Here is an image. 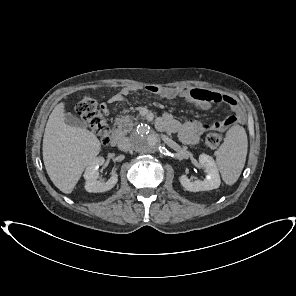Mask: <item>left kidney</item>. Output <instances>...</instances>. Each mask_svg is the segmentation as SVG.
Segmentation results:
<instances>
[{
    "instance_id": "1",
    "label": "left kidney",
    "mask_w": 296,
    "mask_h": 296,
    "mask_svg": "<svg viewBox=\"0 0 296 296\" xmlns=\"http://www.w3.org/2000/svg\"><path fill=\"white\" fill-rule=\"evenodd\" d=\"M199 163L206 171L205 179L191 182L186 175H181L179 181L183 188L190 192L217 189L220 186L221 180L213 158L207 154H201L199 156Z\"/></svg>"
}]
</instances>
